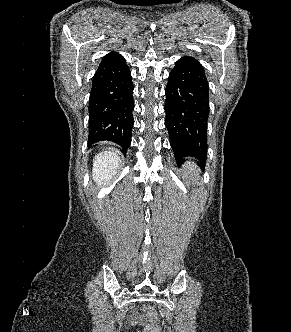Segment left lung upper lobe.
<instances>
[{"label": "left lung upper lobe", "mask_w": 291, "mask_h": 332, "mask_svg": "<svg viewBox=\"0 0 291 332\" xmlns=\"http://www.w3.org/2000/svg\"><path fill=\"white\" fill-rule=\"evenodd\" d=\"M181 149H182L184 152H187V153L191 152V147H190L189 145H187V144H183V145L181 146Z\"/></svg>", "instance_id": "left-lung-upper-lobe-1"}]
</instances>
